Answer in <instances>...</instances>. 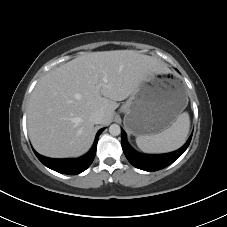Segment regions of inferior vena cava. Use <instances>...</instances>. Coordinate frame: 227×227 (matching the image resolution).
Masks as SVG:
<instances>
[{"label":"inferior vena cava","instance_id":"inferior-vena-cava-1","mask_svg":"<svg viewBox=\"0 0 227 227\" xmlns=\"http://www.w3.org/2000/svg\"><path fill=\"white\" fill-rule=\"evenodd\" d=\"M103 120V113L100 111H95L91 116H90V121L94 124H100Z\"/></svg>","mask_w":227,"mask_h":227}]
</instances>
